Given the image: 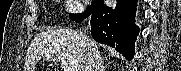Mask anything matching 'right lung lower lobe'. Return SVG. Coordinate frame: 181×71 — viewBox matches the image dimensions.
<instances>
[{
  "label": "right lung lower lobe",
  "mask_w": 181,
  "mask_h": 71,
  "mask_svg": "<svg viewBox=\"0 0 181 71\" xmlns=\"http://www.w3.org/2000/svg\"><path fill=\"white\" fill-rule=\"evenodd\" d=\"M137 0H117L115 9L103 4V0H96L85 15L72 18L81 22L90 14L91 35L102 44H107L116 49L126 59L131 60L135 54L134 43L139 33L135 25Z\"/></svg>",
  "instance_id": "98d812e1"
}]
</instances>
